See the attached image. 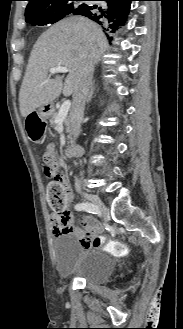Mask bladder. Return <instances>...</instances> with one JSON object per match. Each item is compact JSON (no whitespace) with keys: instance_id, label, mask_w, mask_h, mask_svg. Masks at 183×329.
I'll return each instance as SVG.
<instances>
[{"instance_id":"obj_1","label":"bladder","mask_w":183,"mask_h":329,"mask_svg":"<svg viewBox=\"0 0 183 329\" xmlns=\"http://www.w3.org/2000/svg\"><path fill=\"white\" fill-rule=\"evenodd\" d=\"M52 251L57 271L65 278L101 284L114 268L113 260L104 250L99 247L82 248L70 232L62 233L53 240Z\"/></svg>"}]
</instances>
